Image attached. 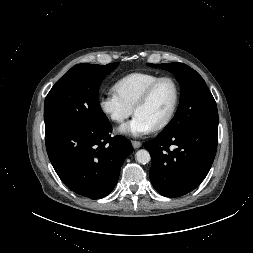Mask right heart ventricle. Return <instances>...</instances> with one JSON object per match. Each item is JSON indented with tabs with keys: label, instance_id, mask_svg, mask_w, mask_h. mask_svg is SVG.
Returning a JSON list of instances; mask_svg holds the SVG:
<instances>
[{
	"label": "right heart ventricle",
	"instance_id": "e07e8e85",
	"mask_svg": "<svg viewBox=\"0 0 253 253\" xmlns=\"http://www.w3.org/2000/svg\"><path fill=\"white\" fill-rule=\"evenodd\" d=\"M160 76L150 72H133L114 84L116 94L130 107H134L144 90Z\"/></svg>",
	"mask_w": 253,
	"mask_h": 253
}]
</instances>
